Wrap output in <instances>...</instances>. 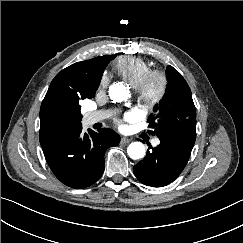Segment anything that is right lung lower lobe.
<instances>
[{
  "label": "right lung lower lobe",
  "instance_id": "obj_1",
  "mask_svg": "<svg viewBox=\"0 0 243 243\" xmlns=\"http://www.w3.org/2000/svg\"><path fill=\"white\" fill-rule=\"evenodd\" d=\"M45 158L54 175L72 188L94 184L104 172V153L116 146L120 137L108 128L97 132L82 127L61 130L39 136Z\"/></svg>",
  "mask_w": 243,
  "mask_h": 243
}]
</instances>
